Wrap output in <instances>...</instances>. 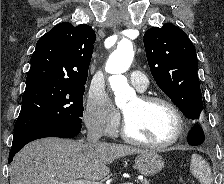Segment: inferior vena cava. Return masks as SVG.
I'll list each match as a JSON object with an SVG mask.
<instances>
[{"instance_id":"1","label":"inferior vena cava","mask_w":224,"mask_h":184,"mask_svg":"<svg viewBox=\"0 0 224 184\" xmlns=\"http://www.w3.org/2000/svg\"><path fill=\"white\" fill-rule=\"evenodd\" d=\"M103 128L98 124L90 125L88 127L87 141L90 144H96L102 137Z\"/></svg>"}]
</instances>
